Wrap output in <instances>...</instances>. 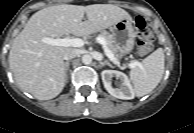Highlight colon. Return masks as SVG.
<instances>
[{
	"instance_id": "5ec220e1",
	"label": "colon",
	"mask_w": 194,
	"mask_h": 133,
	"mask_svg": "<svg viewBox=\"0 0 194 133\" xmlns=\"http://www.w3.org/2000/svg\"><path fill=\"white\" fill-rule=\"evenodd\" d=\"M135 27L137 35L139 37V41L136 47V54L138 56H145L152 49L153 41L152 30L148 26L146 20L141 16H137L135 18Z\"/></svg>"
}]
</instances>
